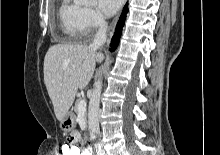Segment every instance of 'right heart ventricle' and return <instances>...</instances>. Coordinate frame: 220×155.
Wrapping results in <instances>:
<instances>
[{
	"label": "right heart ventricle",
	"mask_w": 220,
	"mask_h": 155,
	"mask_svg": "<svg viewBox=\"0 0 220 155\" xmlns=\"http://www.w3.org/2000/svg\"><path fill=\"white\" fill-rule=\"evenodd\" d=\"M84 8L74 0H61L58 17L62 32L71 40H78L84 35Z\"/></svg>",
	"instance_id": "1"
}]
</instances>
